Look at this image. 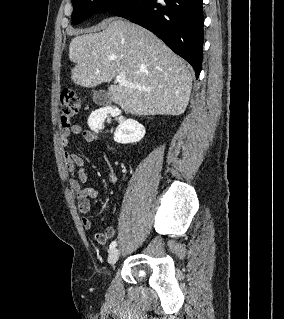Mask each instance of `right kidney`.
<instances>
[{
  "label": "right kidney",
  "mask_w": 284,
  "mask_h": 319,
  "mask_svg": "<svg viewBox=\"0 0 284 319\" xmlns=\"http://www.w3.org/2000/svg\"><path fill=\"white\" fill-rule=\"evenodd\" d=\"M110 110L98 109L91 113L88 119V125L91 130L98 132L102 129L104 120ZM115 115H119L118 109L112 111ZM145 135V128L139 122L133 119L121 121L114 132V140L117 143L129 144L140 141Z\"/></svg>",
  "instance_id": "1"
}]
</instances>
